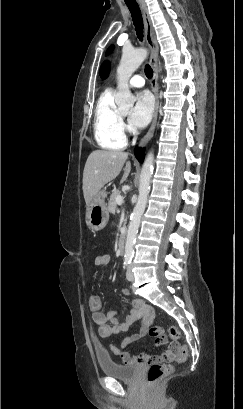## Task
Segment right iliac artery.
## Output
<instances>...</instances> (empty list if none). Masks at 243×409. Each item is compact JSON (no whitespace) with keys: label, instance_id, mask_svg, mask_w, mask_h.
Instances as JSON below:
<instances>
[{"label":"right iliac artery","instance_id":"1","mask_svg":"<svg viewBox=\"0 0 243 409\" xmlns=\"http://www.w3.org/2000/svg\"><path fill=\"white\" fill-rule=\"evenodd\" d=\"M130 263H131V260H130V259H125V260H124V263H123V265H124L123 267H124V268H127Z\"/></svg>","mask_w":243,"mask_h":409}]
</instances>
